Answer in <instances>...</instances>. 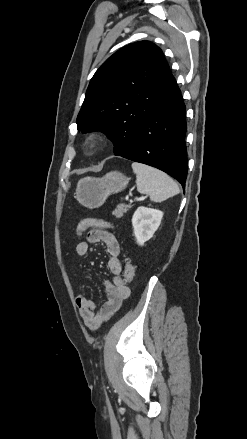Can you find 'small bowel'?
I'll list each match as a JSON object with an SVG mask.
<instances>
[{"mask_svg": "<svg viewBox=\"0 0 247 439\" xmlns=\"http://www.w3.org/2000/svg\"><path fill=\"white\" fill-rule=\"evenodd\" d=\"M103 243L108 254L107 265L111 280L105 282L107 300L95 310L93 301L83 295L76 297V305L84 324L91 330H97L109 320L120 308L122 301L129 296V288L123 282L120 245L117 238L103 229H92L87 233L86 241L80 242L76 252L81 257L89 253V244Z\"/></svg>", "mask_w": 247, "mask_h": 439, "instance_id": "c3829d8e", "label": "small bowel"}]
</instances>
